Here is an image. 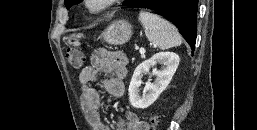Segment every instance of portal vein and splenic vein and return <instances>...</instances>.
<instances>
[{
    "label": "portal vein and splenic vein",
    "instance_id": "1",
    "mask_svg": "<svg viewBox=\"0 0 257 130\" xmlns=\"http://www.w3.org/2000/svg\"><path fill=\"white\" fill-rule=\"evenodd\" d=\"M139 52H140L141 54H144V53H145V50H144L143 48H140Z\"/></svg>",
    "mask_w": 257,
    "mask_h": 130
}]
</instances>
